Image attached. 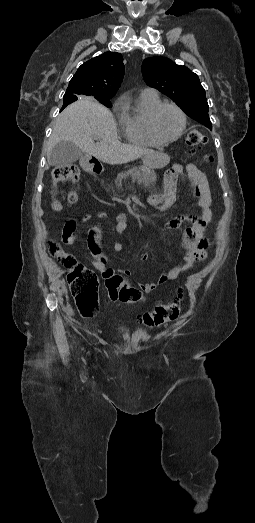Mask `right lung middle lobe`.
<instances>
[{
  "mask_svg": "<svg viewBox=\"0 0 255 523\" xmlns=\"http://www.w3.org/2000/svg\"><path fill=\"white\" fill-rule=\"evenodd\" d=\"M101 104L105 105L106 107H112V104H111V101L110 99H102V100H98Z\"/></svg>",
  "mask_w": 255,
  "mask_h": 523,
  "instance_id": "1",
  "label": "right lung middle lobe"
}]
</instances>
